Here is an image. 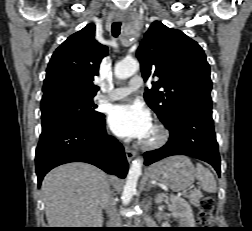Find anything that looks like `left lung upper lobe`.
Listing matches in <instances>:
<instances>
[{
    "label": "left lung upper lobe",
    "instance_id": "left-lung-upper-lobe-1",
    "mask_svg": "<svg viewBox=\"0 0 252 231\" xmlns=\"http://www.w3.org/2000/svg\"><path fill=\"white\" fill-rule=\"evenodd\" d=\"M136 55L144 80L150 76L157 78L150 90L146 88L144 98L164 124L182 107H212V81L206 55L182 31L153 22ZM160 88L163 91H158Z\"/></svg>",
    "mask_w": 252,
    "mask_h": 231
}]
</instances>
